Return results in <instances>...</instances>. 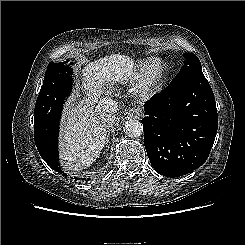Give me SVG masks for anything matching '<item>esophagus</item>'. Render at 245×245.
<instances>
[{
  "mask_svg": "<svg viewBox=\"0 0 245 245\" xmlns=\"http://www.w3.org/2000/svg\"><path fill=\"white\" fill-rule=\"evenodd\" d=\"M139 115V113H137V111L136 110H134V109H131V110H129L128 112H126L123 116H122V121H124L125 119H129V118H134V117H136V116H138Z\"/></svg>",
  "mask_w": 245,
  "mask_h": 245,
  "instance_id": "esophagus-1",
  "label": "esophagus"
}]
</instances>
